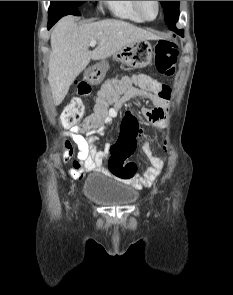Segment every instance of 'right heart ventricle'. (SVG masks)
Masks as SVG:
<instances>
[{
	"label": "right heart ventricle",
	"mask_w": 233,
	"mask_h": 295,
	"mask_svg": "<svg viewBox=\"0 0 233 295\" xmlns=\"http://www.w3.org/2000/svg\"><path fill=\"white\" fill-rule=\"evenodd\" d=\"M110 12L117 18L141 23L144 20L136 12L133 1H105Z\"/></svg>",
	"instance_id": "1"
}]
</instances>
